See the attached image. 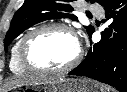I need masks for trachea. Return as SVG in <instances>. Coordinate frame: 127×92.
I'll return each instance as SVG.
<instances>
[{
  "mask_svg": "<svg viewBox=\"0 0 127 92\" xmlns=\"http://www.w3.org/2000/svg\"><path fill=\"white\" fill-rule=\"evenodd\" d=\"M87 16H92L91 14H87Z\"/></svg>",
  "mask_w": 127,
  "mask_h": 92,
  "instance_id": "1",
  "label": "trachea"
}]
</instances>
